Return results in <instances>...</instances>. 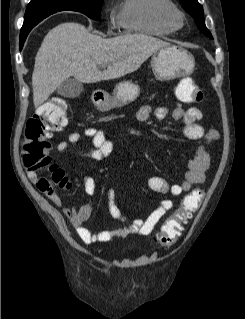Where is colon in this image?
I'll use <instances>...</instances> for the list:
<instances>
[{
  "instance_id": "colon-1",
  "label": "colon",
  "mask_w": 245,
  "mask_h": 319,
  "mask_svg": "<svg viewBox=\"0 0 245 319\" xmlns=\"http://www.w3.org/2000/svg\"><path fill=\"white\" fill-rule=\"evenodd\" d=\"M178 98L184 103L200 101L203 97L202 91L192 85H181L177 90ZM68 105L61 99L52 100L43 105L39 114L31 116L24 130V141L22 145V162L28 172H46L37 181V187L52 194L56 188L69 187V179L56 164L50 155L51 143L49 141L53 133L61 130L67 124ZM204 198L201 188L194 189L188 193L180 207L165 222L156 239L162 246L173 244L179 236L183 224L191 218L192 214L199 208Z\"/></svg>"
}]
</instances>
